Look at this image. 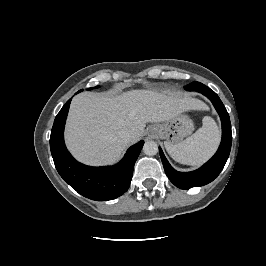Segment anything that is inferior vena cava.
Wrapping results in <instances>:
<instances>
[{"instance_id": "inferior-vena-cava-1", "label": "inferior vena cava", "mask_w": 266, "mask_h": 266, "mask_svg": "<svg viewBox=\"0 0 266 266\" xmlns=\"http://www.w3.org/2000/svg\"><path fill=\"white\" fill-rule=\"evenodd\" d=\"M119 138L124 143H129L131 141V133L127 130H122L119 133Z\"/></svg>"}]
</instances>
